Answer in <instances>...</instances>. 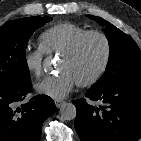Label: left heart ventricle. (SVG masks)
Wrapping results in <instances>:
<instances>
[{
  "label": "left heart ventricle",
  "instance_id": "b2bd125f",
  "mask_svg": "<svg viewBox=\"0 0 141 141\" xmlns=\"http://www.w3.org/2000/svg\"><path fill=\"white\" fill-rule=\"evenodd\" d=\"M104 44L98 37H90L85 41L78 54L72 58L63 56L59 71H68L78 81L90 77L100 66L104 57Z\"/></svg>",
  "mask_w": 141,
  "mask_h": 141
}]
</instances>
